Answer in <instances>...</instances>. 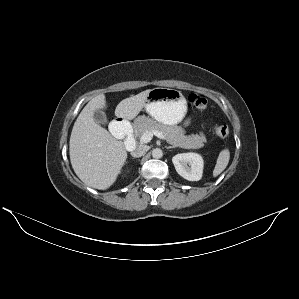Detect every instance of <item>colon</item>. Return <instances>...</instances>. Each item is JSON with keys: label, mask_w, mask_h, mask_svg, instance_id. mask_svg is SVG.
Instances as JSON below:
<instances>
[{"label": "colon", "mask_w": 299, "mask_h": 299, "mask_svg": "<svg viewBox=\"0 0 299 299\" xmlns=\"http://www.w3.org/2000/svg\"><path fill=\"white\" fill-rule=\"evenodd\" d=\"M188 102L191 105V107L198 110H204L207 108L206 98L198 93L189 94ZM216 133L219 137L225 138L229 135V128L226 125L219 124L216 127Z\"/></svg>", "instance_id": "obj_1"}]
</instances>
